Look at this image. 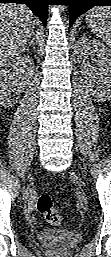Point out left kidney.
I'll list each match as a JSON object with an SVG mask.
<instances>
[{
	"mask_svg": "<svg viewBox=\"0 0 111 257\" xmlns=\"http://www.w3.org/2000/svg\"><path fill=\"white\" fill-rule=\"evenodd\" d=\"M78 63L93 93L101 100L111 97V50L92 37L78 41Z\"/></svg>",
	"mask_w": 111,
	"mask_h": 257,
	"instance_id": "left-kidney-1",
	"label": "left kidney"
}]
</instances>
